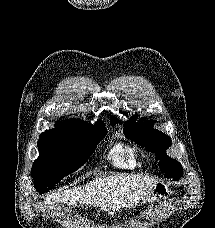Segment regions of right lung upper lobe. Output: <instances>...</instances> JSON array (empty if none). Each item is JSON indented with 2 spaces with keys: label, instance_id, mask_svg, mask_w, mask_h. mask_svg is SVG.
I'll return each instance as SVG.
<instances>
[{
  "label": "right lung upper lobe",
  "instance_id": "cb5924a9",
  "mask_svg": "<svg viewBox=\"0 0 215 228\" xmlns=\"http://www.w3.org/2000/svg\"><path fill=\"white\" fill-rule=\"evenodd\" d=\"M96 124H103V122L102 121H97ZM83 126H91V124H89L86 121L83 122L82 120H79V119H77V120L76 119L66 120L64 122H57L55 129L47 130L44 133H48V132H52V131H56V130H60V129L83 127ZM44 133H42V134H44Z\"/></svg>",
  "mask_w": 215,
  "mask_h": 228
}]
</instances>
